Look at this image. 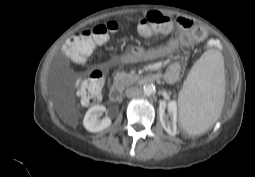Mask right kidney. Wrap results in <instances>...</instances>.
Wrapping results in <instances>:
<instances>
[{
	"instance_id": "1",
	"label": "right kidney",
	"mask_w": 255,
	"mask_h": 177,
	"mask_svg": "<svg viewBox=\"0 0 255 177\" xmlns=\"http://www.w3.org/2000/svg\"><path fill=\"white\" fill-rule=\"evenodd\" d=\"M106 107L103 105H95L91 107L85 114L83 120V126L89 132H100L111 125V119L106 116L100 118L103 112H105Z\"/></svg>"
}]
</instances>
